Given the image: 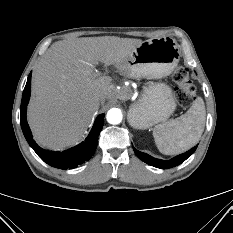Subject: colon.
I'll use <instances>...</instances> for the list:
<instances>
[{
  "label": "colon",
  "mask_w": 233,
  "mask_h": 233,
  "mask_svg": "<svg viewBox=\"0 0 233 233\" xmlns=\"http://www.w3.org/2000/svg\"><path fill=\"white\" fill-rule=\"evenodd\" d=\"M172 78L176 84L175 98L177 102L182 106H190L194 98L195 90L190 83L187 69L178 66L174 70Z\"/></svg>",
  "instance_id": "1"
}]
</instances>
